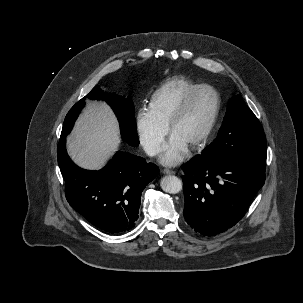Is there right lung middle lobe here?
Here are the masks:
<instances>
[{
	"label": "right lung middle lobe",
	"instance_id": "right-lung-middle-lobe-1",
	"mask_svg": "<svg viewBox=\"0 0 303 303\" xmlns=\"http://www.w3.org/2000/svg\"><path fill=\"white\" fill-rule=\"evenodd\" d=\"M103 97V93L99 87H95L88 95L78 101L65 117L61 138H65L71 131L78 114L85 105V100L87 98L101 99ZM106 102L112 107L118 118L122 139L131 146H138L139 140L134 122V106L132 100L130 98L125 99L124 97L117 96L115 94H108L106 96Z\"/></svg>",
	"mask_w": 303,
	"mask_h": 303
}]
</instances>
